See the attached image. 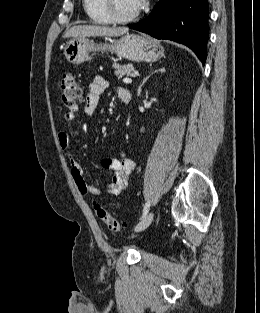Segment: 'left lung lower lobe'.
I'll return each instance as SVG.
<instances>
[{"instance_id": "1", "label": "left lung lower lobe", "mask_w": 260, "mask_h": 313, "mask_svg": "<svg viewBox=\"0 0 260 313\" xmlns=\"http://www.w3.org/2000/svg\"><path fill=\"white\" fill-rule=\"evenodd\" d=\"M207 0H161L140 23L129 28L185 44L204 64L208 42Z\"/></svg>"}]
</instances>
